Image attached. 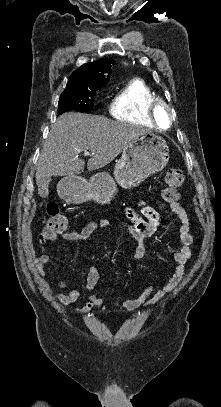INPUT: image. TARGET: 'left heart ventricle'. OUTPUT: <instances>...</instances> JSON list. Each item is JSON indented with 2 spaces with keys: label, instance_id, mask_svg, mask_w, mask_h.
<instances>
[{
  "label": "left heart ventricle",
  "instance_id": "1",
  "mask_svg": "<svg viewBox=\"0 0 221 407\" xmlns=\"http://www.w3.org/2000/svg\"><path fill=\"white\" fill-rule=\"evenodd\" d=\"M158 124L161 128H166L168 124V113L165 109L158 112Z\"/></svg>",
  "mask_w": 221,
  "mask_h": 407
}]
</instances>
